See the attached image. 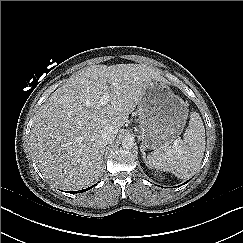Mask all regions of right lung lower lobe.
Here are the masks:
<instances>
[{
	"label": "right lung lower lobe",
	"instance_id": "right-lung-lower-lobe-1",
	"mask_svg": "<svg viewBox=\"0 0 243 243\" xmlns=\"http://www.w3.org/2000/svg\"><path fill=\"white\" fill-rule=\"evenodd\" d=\"M95 185H96V184H95ZM95 185H93V186H95ZM93 186L88 187V188L83 189V190H80V191H74V193H82V192H85V191H87V190L91 189ZM71 193H72V192H71Z\"/></svg>",
	"mask_w": 243,
	"mask_h": 243
}]
</instances>
